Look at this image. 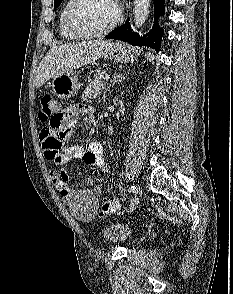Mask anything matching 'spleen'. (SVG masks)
<instances>
[{"label":"spleen","instance_id":"spleen-1","mask_svg":"<svg viewBox=\"0 0 233 294\" xmlns=\"http://www.w3.org/2000/svg\"><path fill=\"white\" fill-rule=\"evenodd\" d=\"M147 59L148 60H151L152 59V55L149 53V54H147Z\"/></svg>","mask_w":233,"mask_h":294}]
</instances>
